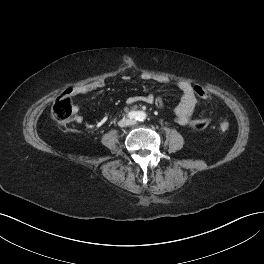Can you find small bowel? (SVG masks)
Segmentation results:
<instances>
[{
	"mask_svg": "<svg viewBox=\"0 0 264 264\" xmlns=\"http://www.w3.org/2000/svg\"><path fill=\"white\" fill-rule=\"evenodd\" d=\"M142 80L151 79L147 75H142L140 77ZM124 80H128V76L123 77ZM155 81L166 84L169 82L166 77H158L154 79ZM105 86L104 80H96L86 84L78 85L69 90L71 95H80L86 94L98 89H101ZM177 87L182 93V97L180 102L175 108L176 121L181 126H187L189 124L190 118L193 115L196 106L198 104L197 98L193 91V88L190 83L186 81H180L177 83ZM127 104H133L135 102H143L147 104H154L158 108L163 107V99L160 96H154L152 93H148L145 95L131 96L126 100ZM75 121L77 123H81L83 121V117L81 115L76 116Z\"/></svg>",
	"mask_w": 264,
	"mask_h": 264,
	"instance_id": "c3829d8e",
	"label": "small bowel"
}]
</instances>
